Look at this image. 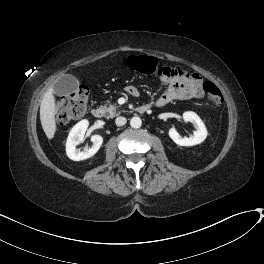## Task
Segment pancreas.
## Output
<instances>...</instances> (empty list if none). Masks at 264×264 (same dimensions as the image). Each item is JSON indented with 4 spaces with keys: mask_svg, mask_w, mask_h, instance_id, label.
I'll use <instances>...</instances> for the list:
<instances>
[{
    "mask_svg": "<svg viewBox=\"0 0 264 264\" xmlns=\"http://www.w3.org/2000/svg\"><path fill=\"white\" fill-rule=\"evenodd\" d=\"M102 108L107 118H113L115 116H118L121 113V111L118 110V106L116 103L109 104L108 106H103Z\"/></svg>",
    "mask_w": 264,
    "mask_h": 264,
    "instance_id": "cf45deb5",
    "label": "pancreas"
}]
</instances>
